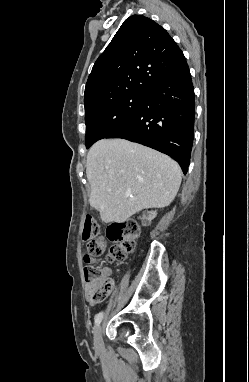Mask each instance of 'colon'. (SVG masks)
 Instances as JSON below:
<instances>
[{"label":"colon","instance_id":"1","mask_svg":"<svg viewBox=\"0 0 249 382\" xmlns=\"http://www.w3.org/2000/svg\"><path fill=\"white\" fill-rule=\"evenodd\" d=\"M99 225L90 215L83 222L82 238L87 241V254L84 259L88 264L84 269L86 281L91 289L90 300L100 302L113 290L114 282L107 278L103 270L92 265L93 258L103 253L105 241L98 237ZM140 234V226L135 221L116 222L107 230V238L113 242L109 251L112 261H123L134 250Z\"/></svg>","mask_w":249,"mask_h":382}]
</instances>
